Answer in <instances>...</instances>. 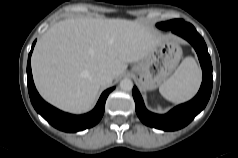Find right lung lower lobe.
Returning <instances> with one entry per match:
<instances>
[{
  "mask_svg": "<svg viewBox=\"0 0 238 158\" xmlns=\"http://www.w3.org/2000/svg\"><path fill=\"white\" fill-rule=\"evenodd\" d=\"M35 42L32 45L31 52L29 53V56H28V63H27L28 91H29L31 103L33 107L35 108V110L44 119H46L52 126L65 132H77V131L84 130L86 128H90L96 125L104 114L106 99L109 93L114 88H110L104 91L97 105L95 106V108L87 114L76 116V115L64 113L54 108L53 106L46 103L40 97L33 82L30 58H31V54H32Z\"/></svg>",
  "mask_w": 238,
  "mask_h": 158,
  "instance_id": "1",
  "label": "right lung lower lobe"
}]
</instances>
